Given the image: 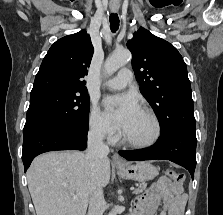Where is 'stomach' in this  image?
I'll list each match as a JSON object with an SVG mask.
<instances>
[{"label": "stomach", "instance_id": "0dacf381", "mask_svg": "<svg viewBox=\"0 0 223 215\" xmlns=\"http://www.w3.org/2000/svg\"><path fill=\"white\" fill-rule=\"evenodd\" d=\"M118 173L125 179H134V181H149L158 175V169L152 165L151 161H137L135 165L126 161L125 167H117Z\"/></svg>", "mask_w": 223, "mask_h": 215}]
</instances>
